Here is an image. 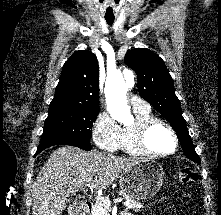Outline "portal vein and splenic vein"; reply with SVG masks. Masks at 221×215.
Wrapping results in <instances>:
<instances>
[{"label":"portal vein and splenic vein","mask_w":221,"mask_h":215,"mask_svg":"<svg viewBox=\"0 0 221 215\" xmlns=\"http://www.w3.org/2000/svg\"><path fill=\"white\" fill-rule=\"evenodd\" d=\"M96 200L99 203L104 202L107 206H110V201L108 199L104 198L103 196L96 195ZM122 201H123L122 198H116L114 200L115 203H119V202H122Z\"/></svg>","instance_id":"18ae733b"}]
</instances>
